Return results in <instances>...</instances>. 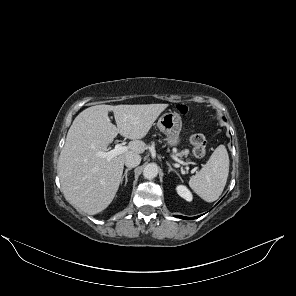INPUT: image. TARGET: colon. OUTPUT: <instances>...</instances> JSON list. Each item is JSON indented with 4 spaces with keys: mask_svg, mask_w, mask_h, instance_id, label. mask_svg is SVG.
<instances>
[{
    "mask_svg": "<svg viewBox=\"0 0 296 296\" xmlns=\"http://www.w3.org/2000/svg\"><path fill=\"white\" fill-rule=\"evenodd\" d=\"M177 110L181 114H186L189 111L188 106L180 104L177 106ZM190 143L193 146L194 155L197 158H203L206 154L207 140L202 134H193L190 137Z\"/></svg>",
    "mask_w": 296,
    "mask_h": 296,
    "instance_id": "1",
    "label": "colon"
}]
</instances>
